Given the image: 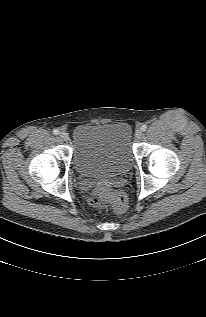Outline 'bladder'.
Returning <instances> with one entry per match:
<instances>
[{
	"mask_svg": "<svg viewBox=\"0 0 206 317\" xmlns=\"http://www.w3.org/2000/svg\"><path fill=\"white\" fill-rule=\"evenodd\" d=\"M132 162V130L127 123L82 124L74 129L73 165L81 177L123 175Z\"/></svg>",
	"mask_w": 206,
	"mask_h": 317,
	"instance_id": "obj_1",
	"label": "bladder"
}]
</instances>
